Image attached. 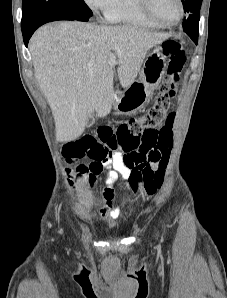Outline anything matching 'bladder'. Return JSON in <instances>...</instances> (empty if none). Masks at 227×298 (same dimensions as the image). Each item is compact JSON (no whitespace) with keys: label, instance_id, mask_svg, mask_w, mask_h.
<instances>
[{"label":"bladder","instance_id":"obj_1","mask_svg":"<svg viewBox=\"0 0 227 298\" xmlns=\"http://www.w3.org/2000/svg\"><path fill=\"white\" fill-rule=\"evenodd\" d=\"M109 228L110 229H113V228H115V226L114 225H110Z\"/></svg>","mask_w":227,"mask_h":298}]
</instances>
